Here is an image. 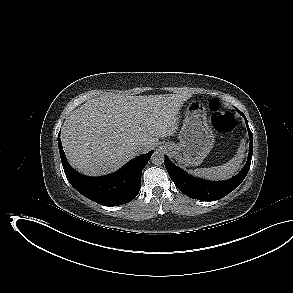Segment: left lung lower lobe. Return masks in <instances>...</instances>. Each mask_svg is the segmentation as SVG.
<instances>
[{
  "label": "left lung lower lobe",
  "instance_id": "left-lung-lower-lobe-1",
  "mask_svg": "<svg viewBox=\"0 0 293 293\" xmlns=\"http://www.w3.org/2000/svg\"><path fill=\"white\" fill-rule=\"evenodd\" d=\"M240 113L243 115L249 131L250 148L248 159L244 168L240 171V173L231 179L221 182H211L192 177L179 167L173 165L168 157L165 156L164 164L170 178L174 182L175 186L186 196L202 201L219 200L237 188L246 177L250 169L253 154V134L248 126L245 115L242 112Z\"/></svg>",
  "mask_w": 293,
  "mask_h": 293
}]
</instances>
